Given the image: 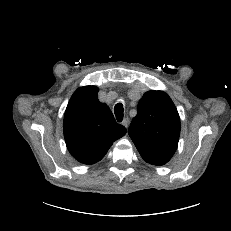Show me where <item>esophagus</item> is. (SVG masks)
<instances>
[{"label": "esophagus", "mask_w": 231, "mask_h": 231, "mask_svg": "<svg viewBox=\"0 0 231 231\" xmlns=\"http://www.w3.org/2000/svg\"><path fill=\"white\" fill-rule=\"evenodd\" d=\"M122 124H123V126H124L125 128H128V126H129V119H128V118H125V119L123 120Z\"/></svg>", "instance_id": "obj_1"}]
</instances>
